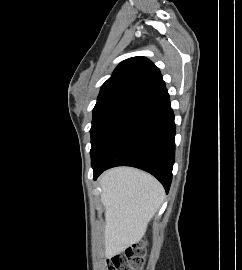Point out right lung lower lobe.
<instances>
[{
	"mask_svg": "<svg viewBox=\"0 0 242 270\" xmlns=\"http://www.w3.org/2000/svg\"><path fill=\"white\" fill-rule=\"evenodd\" d=\"M175 123L166 91L138 105L92 161L94 179L115 166H132L155 176L168 192L175 158Z\"/></svg>",
	"mask_w": 242,
	"mask_h": 270,
	"instance_id": "1",
	"label": "right lung lower lobe"
}]
</instances>
